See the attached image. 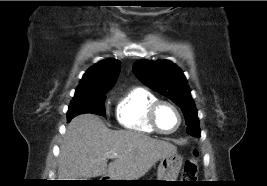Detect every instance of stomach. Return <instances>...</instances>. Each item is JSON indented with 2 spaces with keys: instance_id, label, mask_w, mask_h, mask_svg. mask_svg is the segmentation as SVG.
I'll list each match as a JSON object with an SVG mask.
<instances>
[{
  "instance_id": "1",
  "label": "stomach",
  "mask_w": 267,
  "mask_h": 186,
  "mask_svg": "<svg viewBox=\"0 0 267 186\" xmlns=\"http://www.w3.org/2000/svg\"><path fill=\"white\" fill-rule=\"evenodd\" d=\"M183 158L177 153H169L160 159L156 181H176L182 167ZM159 185H168L170 182H159Z\"/></svg>"
}]
</instances>
